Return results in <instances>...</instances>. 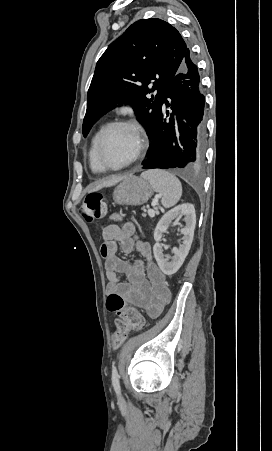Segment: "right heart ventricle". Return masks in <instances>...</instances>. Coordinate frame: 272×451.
Segmentation results:
<instances>
[{
  "mask_svg": "<svg viewBox=\"0 0 272 451\" xmlns=\"http://www.w3.org/2000/svg\"><path fill=\"white\" fill-rule=\"evenodd\" d=\"M98 137H99V134L94 137L92 146H91V149L89 152V167L93 173H99L96 156H95V148H96V143H97Z\"/></svg>",
  "mask_w": 272,
  "mask_h": 451,
  "instance_id": "right-heart-ventricle-1",
  "label": "right heart ventricle"
}]
</instances>
